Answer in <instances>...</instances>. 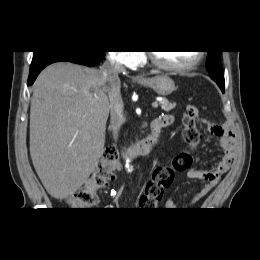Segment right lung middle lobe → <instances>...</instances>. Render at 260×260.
I'll return each instance as SVG.
<instances>
[{
    "mask_svg": "<svg viewBox=\"0 0 260 260\" xmlns=\"http://www.w3.org/2000/svg\"><path fill=\"white\" fill-rule=\"evenodd\" d=\"M38 52L34 51V54H37Z\"/></svg>",
    "mask_w": 260,
    "mask_h": 260,
    "instance_id": "dd1d6c3e",
    "label": "right lung middle lobe"
}]
</instances>
